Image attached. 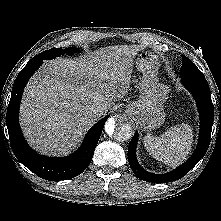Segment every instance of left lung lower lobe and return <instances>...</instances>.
<instances>
[{
    "mask_svg": "<svg viewBox=\"0 0 221 221\" xmlns=\"http://www.w3.org/2000/svg\"><path fill=\"white\" fill-rule=\"evenodd\" d=\"M181 82L194 96L200 114V134L197 149L183 165L175 170L166 174H153L145 171L137 161L136 146L138 133L135 132L128 147V161L134 174L144 181L167 183L182 178L201 160L209 147L214 120V106L207 80L205 77L181 78Z\"/></svg>",
    "mask_w": 221,
    "mask_h": 221,
    "instance_id": "0a47b994",
    "label": "left lung lower lobe"
}]
</instances>
